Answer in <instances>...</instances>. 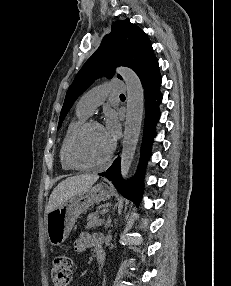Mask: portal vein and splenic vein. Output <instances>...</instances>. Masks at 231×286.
<instances>
[{
  "mask_svg": "<svg viewBox=\"0 0 231 286\" xmlns=\"http://www.w3.org/2000/svg\"><path fill=\"white\" fill-rule=\"evenodd\" d=\"M108 211H109V209L105 208V209H103V210L100 212V214L104 215V214H106Z\"/></svg>",
  "mask_w": 231,
  "mask_h": 286,
  "instance_id": "portal-vein-and-splenic-vein-1",
  "label": "portal vein and splenic vein"
}]
</instances>
